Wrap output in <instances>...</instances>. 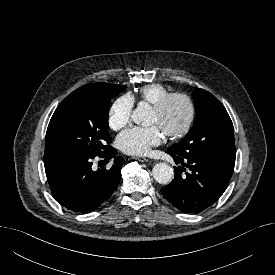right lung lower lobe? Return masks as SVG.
Masks as SVG:
<instances>
[{"mask_svg":"<svg viewBox=\"0 0 275 275\" xmlns=\"http://www.w3.org/2000/svg\"><path fill=\"white\" fill-rule=\"evenodd\" d=\"M109 147L100 158L114 159L110 169H92L96 156L74 153L44 154V166L53 197L65 208L87 213L98 208L118 187L125 162Z\"/></svg>","mask_w":275,"mask_h":275,"instance_id":"right-lung-lower-lobe-1","label":"right lung lower lobe"}]
</instances>
